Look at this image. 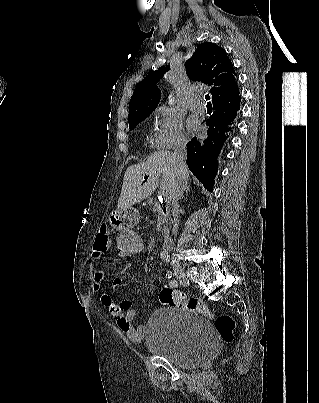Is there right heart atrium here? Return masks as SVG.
<instances>
[{"label": "right heart atrium", "mask_w": 319, "mask_h": 403, "mask_svg": "<svg viewBox=\"0 0 319 403\" xmlns=\"http://www.w3.org/2000/svg\"><path fill=\"white\" fill-rule=\"evenodd\" d=\"M153 117L154 133L151 142L154 148L169 150L186 144L182 118L174 109L160 106L154 111Z\"/></svg>", "instance_id": "d8ad5b80"}]
</instances>
